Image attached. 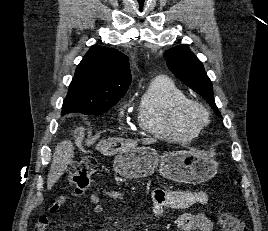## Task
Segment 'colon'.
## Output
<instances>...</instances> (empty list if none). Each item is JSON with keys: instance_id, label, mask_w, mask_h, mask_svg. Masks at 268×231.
<instances>
[{"instance_id": "5ec220e1", "label": "colon", "mask_w": 268, "mask_h": 231, "mask_svg": "<svg viewBox=\"0 0 268 231\" xmlns=\"http://www.w3.org/2000/svg\"><path fill=\"white\" fill-rule=\"evenodd\" d=\"M96 169V161L90 158L69 165L68 175L76 193H82L88 188ZM220 221L223 231H249L248 227L230 212H224Z\"/></svg>"}]
</instances>
